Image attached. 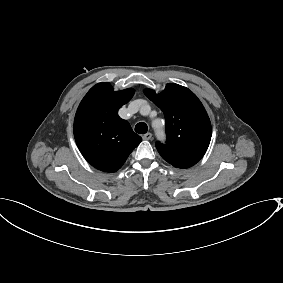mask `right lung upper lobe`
<instances>
[{
  "instance_id": "right-lung-upper-lobe-1",
  "label": "right lung upper lobe",
  "mask_w": 283,
  "mask_h": 283,
  "mask_svg": "<svg viewBox=\"0 0 283 283\" xmlns=\"http://www.w3.org/2000/svg\"><path fill=\"white\" fill-rule=\"evenodd\" d=\"M134 89L113 91L108 82L93 86L81 101L74 120V137L84 158L96 169L116 172L142 141L118 116Z\"/></svg>"
}]
</instances>
